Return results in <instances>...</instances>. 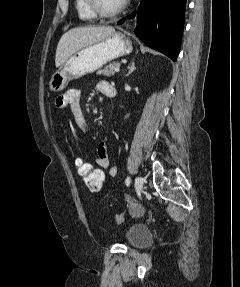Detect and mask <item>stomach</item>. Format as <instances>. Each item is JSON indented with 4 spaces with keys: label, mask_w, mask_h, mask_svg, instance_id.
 <instances>
[{
    "label": "stomach",
    "mask_w": 240,
    "mask_h": 287,
    "mask_svg": "<svg viewBox=\"0 0 240 287\" xmlns=\"http://www.w3.org/2000/svg\"><path fill=\"white\" fill-rule=\"evenodd\" d=\"M132 52V42L125 33L114 32L99 42L71 55L51 77L49 88L62 91L72 79L100 69L107 62Z\"/></svg>",
    "instance_id": "stomach-1"
}]
</instances>
